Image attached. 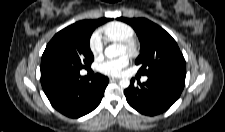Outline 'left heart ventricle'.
<instances>
[{"label":"left heart ventricle","instance_id":"1","mask_svg":"<svg viewBox=\"0 0 225 132\" xmlns=\"http://www.w3.org/2000/svg\"><path fill=\"white\" fill-rule=\"evenodd\" d=\"M125 52H126L125 48L120 45V47H119V54H124Z\"/></svg>","mask_w":225,"mask_h":132}]
</instances>
